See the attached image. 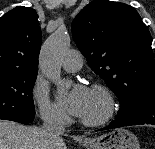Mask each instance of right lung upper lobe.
Masks as SVG:
<instances>
[{
	"label": "right lung upper lobe",
	"mask_w": 155,
	"mask_h": 149,
	"mask_svg": "<svg viewBox=\"0 0 155 149\" xmlns=\"http://www.w3.org/2000/svg\"><path fill=\"white\" fill-rule=\"evenodd\" d=\"M41 30L36 11L18 6L0 18V72L37 71Z\"/></svg>",
	"instance_id": "right-lung-upper-lobe-1"
}]
</instances>
